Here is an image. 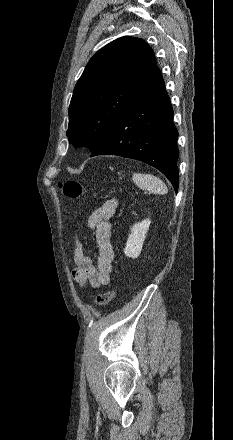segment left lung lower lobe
<instances>
[{"instance_id": "left-lung-lower-lobe-1", "label": "left lung lower lobe", "mask_w": 233, "mask_h": 440, "mask_svg": "<svg viewBox=\"0 0 233 440\" xmlns=\"http://www.w3.org/2000/svg\"><path fill=\"white\" fill-rule=\"evenodd\" d=\"M177 138L173 109L162 75L156 67L91 157L117 155L143 161L160 170L177 191Z\"/></svg>"}]
</instances>
